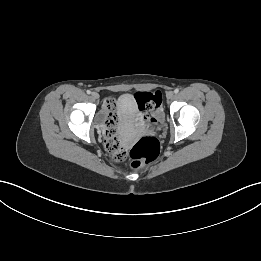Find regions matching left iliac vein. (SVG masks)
<instances>
[{
    "instance_id": "1",
    "label": "left iliac vein",
    "mask_w": 261,
    "mask_h": 261,
    "mask_svg": "<svg viewBox=\"0 0 261 261\" xmlns=\"http://www.w3.org/2000/svg\"><path fill=\"white\" fill-rule=\"evenodd\" d=\"M166 97L167 99H172L174 97V93L172 91H169L167 94H166Z\"/></svg>"
}]
</instances>
